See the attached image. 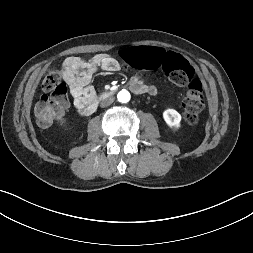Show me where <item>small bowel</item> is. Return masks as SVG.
I'll return each mask as SVG.
<instances>
[{"instance_id": "1", "label": "small bowel", "mask_w": 253, "mask_h": 253, "mask_svg": "<svg viewBox=\"0 0 253 253\" xmlns=\"http://www.w3.org/2000/svg\"><path fill=\"white\" fill-rule=\"evenodd\" d=\"M63 66L64 79L69 86L74 104L78 109L95 100L96 92L90 85V81L97 71L116 72L120 69L119 62L111 55L105 53L96 54L89 59L70 56L65 59ZM130 85L133 91L138 94L155 95L157 93L155 86L145 84L138 76H133L130 79Z\"/></svg>"}]
</instances>
